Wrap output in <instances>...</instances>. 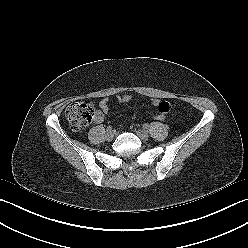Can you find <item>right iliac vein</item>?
<instances>
[{"instance_id": "obj_1", "label": "right iliac vein", "mask_w": 248, "mask_h": 248, "mask_svg": "<svg viewBox=\"0 0 248 248\" xmlns=\"http://www.w3.org/2000/svg\"><path fill=\"white\" fill-rule=\"evenodd\" d=\"M113 137H114V132L108 131V132L106 133V139H107L108 141L112 140Z\"/></svg>"}]
</instances>
